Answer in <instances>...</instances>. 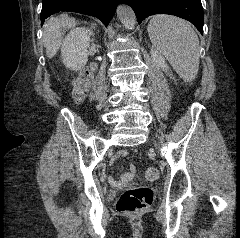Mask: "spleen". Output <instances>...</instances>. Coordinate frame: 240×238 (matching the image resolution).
Here are the masks:
<instances>
[{
    "label": "spleen",
    "mask_w": 240,
    "mask_h": 238,
    "mask_svg": "<svg viewBox=\"0 0 240 238\" xmlns=\"http://www.w3.org/2000/svg\"><path fill=\"white\" fill-rule=\"evenodd\" d=\"M147 31L153 46L162 53L178 75L193 81L199 70V39L191 25L180 18L155 15Z\"/></svg>",
    "instance_id": "obj_1"
}]
</instances>
